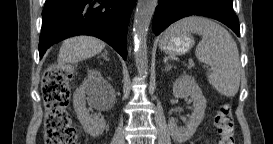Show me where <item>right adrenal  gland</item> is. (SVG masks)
I'll return each instance as SVG.
<instances>
[{"label": "right adrenal gland", "instance_id": "2a0ac1e0", "mask_svg": "<svg viewBox=\"0 0 273 144\" xmlns=\"http://www.w3.org/2000/svg\"><path fill=\"white\" fill-rule=\"evenodd\" d=\"M107 55H108V52H107V50H105V52H103L100 57H103L106 61H108L109 59H108Z\"/></svg>", "mask_w": 273, "mask_h": 144}]
</instances>
